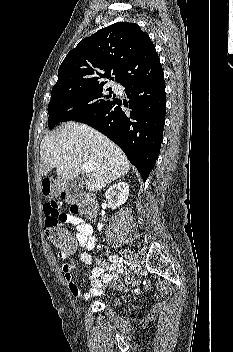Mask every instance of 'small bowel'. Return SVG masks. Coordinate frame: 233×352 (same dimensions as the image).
Instances as JSON below:
<instances>
[{
    "instance_id": "c3829d8e",
    "label": "small bowel",
    "mask_w": 233,
    "mask_h": 352,
    "mask_svg": "<svg viewBox=\"0 0 233 352\" xmlns=\"http://www.w3.org/2000/svg\"><path fill=\"white\" fill-rule=\"evenodd\" d=\"M57 185L45 181L42 185L43 195L46 201L43 204V213L45 216V224H56L58 226L70 225L75 228L76 245L72 252H59V256L63 260V272L65 282L71 294L82 300H88L91 297L102 294L106 285H114L118 282L123 270L116 265H109L105 263L100 257L92 256L87 252L80 254V260L86 265H90L93 261L96 266L90 272L91 288L83 292L75 283L73 278V271L75 268L74 260L71 255L77 248H84L86 250H93L96 243L94 230L91 224L86 220L79 218L73 214L64 213L56 201ZM108 273H105V272Z\"/></svg>"
}]
</instances>
